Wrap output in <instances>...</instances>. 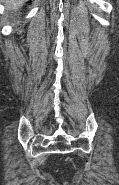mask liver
Returning <instances> with one entry per match:
<instances>
[{
	"mask_svg": "<svg viewBox=\"0 0 119 185\" xmlns=\"http://www.w3.org/2000/svg\"><path fill=\"white\" fill-rule=\"evenodd\" d=\"M27 0H2L8 10L16 11L19 9Z\"/></svg>",
	"mask_w": 119,
	"mask_h": 185,
	"instance_id": "6515ba94",
	"label": "liver"
}]
</instances>
